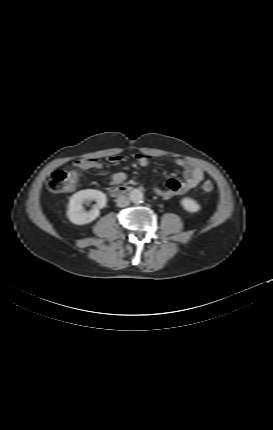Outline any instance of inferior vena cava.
Instances as JSON below:
<instances>
[{"mask_svg": "<svg viewBox=\"0 0 273 430\" xmlns=\"http://www.w3.org/2000/svg\"><path fill=\"white\" fill-rule=\"evenodd\" d=\"M118 207H127L129 205V199L126 196H120L116 200Z\"/></svg>", "mask_w": 273, "mask_h": 430, "instance_id": "inferior-vena-cava-1", "label": "inferior vena cava"}]
</instances>
